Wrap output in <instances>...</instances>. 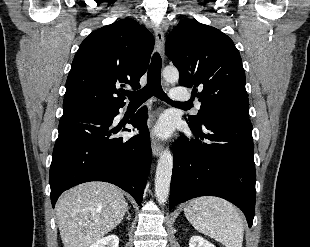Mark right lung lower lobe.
<instances>
[{
    "mask_svg": "<svg viewBox=\"0 0 310 247\" xmlns=\"http://www.w3.org/2000/svg\"><path fill=\"white\" fill-rule=\"evenodd\" d=\"M119 108L63 114L50 166L52 206L65 190L88 181L117 185L141 204L151 165L146 108L129 121L141 134L113 137L110 126ZM123 131H130L124 129Z\"/></svg>",
    "mask_w": 310,
    "mask_h": 247,
    "instance_id": "right-lung-lower-lobe-1",
    "label": "right lung lower lobe"
}]
</instances>
